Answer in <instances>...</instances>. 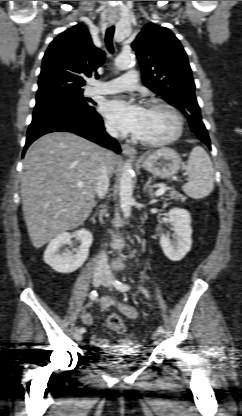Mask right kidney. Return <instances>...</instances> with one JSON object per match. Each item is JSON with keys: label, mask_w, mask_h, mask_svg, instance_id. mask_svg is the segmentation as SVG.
<instances>
[{"label": "right kidney", "mask_w": 242, "mask_h": 416, "mask_svg": "<svg viewBox=\"0 0 242 416\" xmlns=\"http://www.w3.org/2000/svg\"><path fill=\"white\" fill-rule=\"evenodd\" d=\"M74 236L81 242V245L75 250V253L68 249L64 252H60V248L63 245L68 244L72 238L71 234L68 232H63L52 239L46 248L44 261L55 271L60 273H71L80 268L86 261L89 254V248L93 241V236L86 229L74 232Z\"/></svg>", "instance_id": "ca27d5eb"}]
</instances>
